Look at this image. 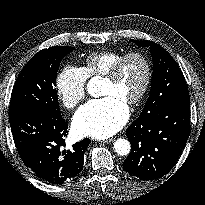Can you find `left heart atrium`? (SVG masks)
<instances>
[{
	"mask_svg": "<svg viewBox=\"0 0 205 205\" xmlns=\"http://www.w3.org/2000/svg\"><path fill=\"white\" fill-rule=\"evenodd\" d=\"M128 116L126 103L115 96H106L82 106L74 116L73 126L82 136L106 138L120 130Z\"/></svg>",
	"mask_w": 205,
	"mask_h": 205,
	"instance_id": "39dd6f15",
	"label": "left heart atrium"
}]
</instances>
